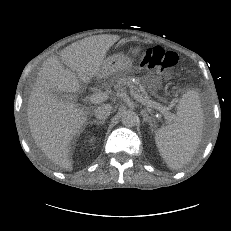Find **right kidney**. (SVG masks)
<instances>
[{"label": "right kidney", "mask_w": 231, "mask_h": 231, "mask_svg": "<svg viewBox=\"0 0 231 231\" xmlns=\"http://www.w3.org/2000/svg\"><path fill=\"white\" fill-rule=\"evenodd\" d=\"M94 141H95V137L94 136L90 137V139L88 140L89 143H94Z\"/></svg>", "instance_id": "obj_1"}]
</instances>
